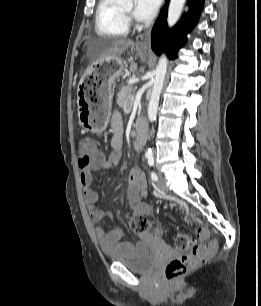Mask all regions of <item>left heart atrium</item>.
I'll use <instances>...</instances> for the list:
<instances>
[{"label":"left heart atrium","mask_w":261,"mask_h":306,"mask_svg":"<svg viewBox=\"0 0 261 306\" xmlns=\"http://www.w3.org/2000/svg\"><path fill=\"white\" fill-rule=\"evenodd\" d=\"M161 0H135L133 15L139 21L151 19L157 12Z\"/></svg>","instance_id":"obj_1"}]
</instances>
